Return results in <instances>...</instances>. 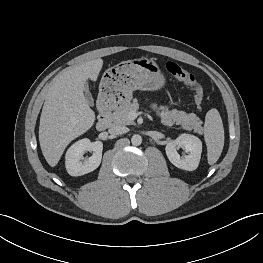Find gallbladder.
I'll use <instances>...</instances> for the list:
<instances>
[{"label":"gallbladder","mask_w":263,"mask_h":263,"mask_svg":"<svg viewBox=\"0 0 263 263\" xmlns=\"http://www.w3.org/2000/svg\"><path fill=\"white\" fill-rule=\"evenodd\" d=\"M84 93H85V96H86V99H87L88 103H89L90 105H93V104H94V100H93V97H92V95H91V93H90V91H89L88 83H87V82H86V84H85Z\"/></svg>","instance_id":"bac80fb5"}]
</instances>
